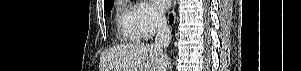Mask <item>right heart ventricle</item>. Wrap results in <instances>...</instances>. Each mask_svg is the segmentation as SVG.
Masks as SVG:
<instances>
[{"instance_id": "right-heart-ventricle-1", "label": "right heart ventricle", "mask_w": 301, "mask_h": 71, "mask_svg": "<svg viewBox=\"0 0 301 71\" xmlns=\"http://www.w3.org/2000/svg\"><path fill=\"white\" fill-rule=\"evenodd\" d=\"M116 30L118 37L124 41L139 42L141 40V37L138 34L136 26L132 20L130 9L124 6L119 7Z\"/></svg>"}]
</instances>
